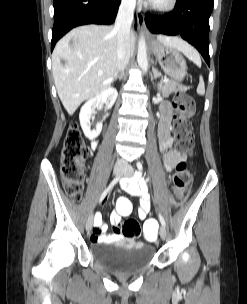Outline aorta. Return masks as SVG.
<instances>
[{
  "label": "aorta",
  "instance_id": "762f6f07",
  "mask_svg": "<svg viewBox=\"0 0 247 304\" xmlns=\"http://www.w3.org/2000/svg\"><path fill=\"white\" fill-rule=\"evenodd\" d=\"M137 61L141 70L146 73L148 70V58L146 41L143 35L140 36L138 41Z\"/></svg>",
  "mask_w": 247,
  "mask_h": 304
}]
</instances>
